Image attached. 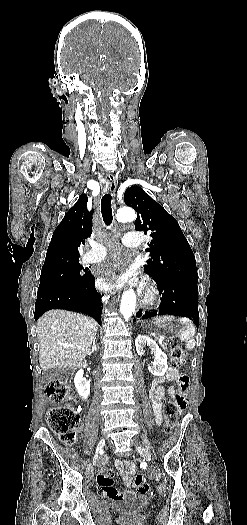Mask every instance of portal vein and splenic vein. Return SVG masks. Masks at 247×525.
Segmentation results:
<instances>
[{
	"instance_id": "obj_1",
	"label": "portal vein and splenic vein",
	"mask_w": 247,
	"mask_h": 525,
	"mask_svg": "<svg viewBox=\"0 0 247 525\" xmlns=\"http://www.w3.org/2000/svg\"><path fill=\"white\" fill-rule=\"evenodd\" d=\"M159 343H163V340H159ZM61 346H73V343H61ZM75 349H81V345H78Z\"/></svg>"
}]
</instances>
